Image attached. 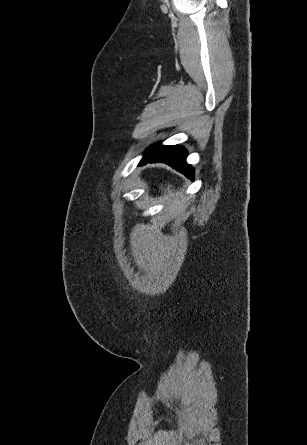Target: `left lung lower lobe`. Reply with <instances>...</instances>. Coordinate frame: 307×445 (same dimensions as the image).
<instances>
[{
  "instance_id": "1",
  "label": "left lung lower lobe",
  "mask_w": 307,
  "mask_h": 445,
  "mask_svg": "<svg viewBox=\"0 0 307 445\" xmlns=\"http://www.w3.org/2000/svg\"><path fill=\"white\" fill-rule=\"evenodd\" d=\"M187 152L181 146H159L155 144L147 149L138 166L147 163L163 162L183 173L187 178L194 179L193 168L186 163Z\"/></svg>"
}]
</instances>
